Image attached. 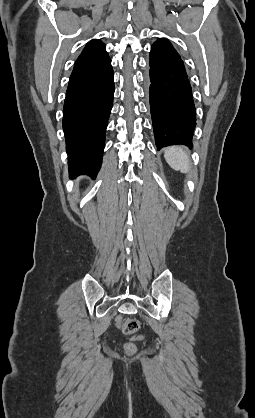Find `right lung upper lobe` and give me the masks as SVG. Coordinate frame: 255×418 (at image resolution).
<instances>
[{"label":"right lung upper lobe","mask_w":255,"mask_h":418,"mask_svg":"<svg viewBox=\"0 0 255 418\" xmlns=\"http://www.w3.org/2000/svg\"><path fill=\"white\" fill-rule=\"evenodd\" d=\"M108 56L105 45L100 40H91L75 62V65L94 62Z\"/></svg>","instance_id":"cb5924a9"}]
</instances>
